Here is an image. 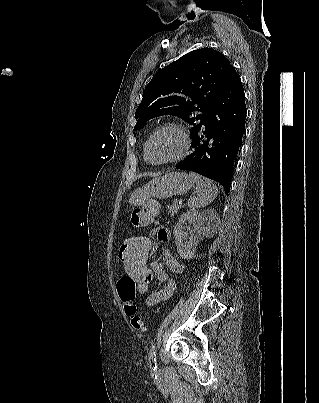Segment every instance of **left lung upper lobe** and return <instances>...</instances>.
<instances>
[{
  "instance_id": "1",
  "label": "left lung upper lobe",
  "mask_w": 319,
  "mask_h": 403,
  "mask_svg": "<svg viewBox=\"0 0 319 403\" xmlns=\"http://www.w3.org/2000/svg\"><path fill=\"white\" fill-rule=\"evenodd\" d=\"M231 67L222 53L211 48L194 50L172 62L143 91L134 129L142 128L149 119L170 114L192 125L193 137Z\"/></svg>"
}]
</instances>
